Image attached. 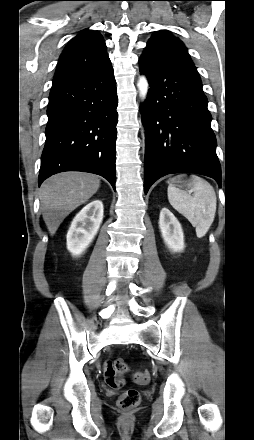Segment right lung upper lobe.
Wrapping results in <instances>:
<instances>
[{"mask_svg": "<svg viewBox=\"0 0 254 440\" xmlns=\"http://www.w3.org/2000/svg\"><path fill=\"white\" fill-rule=\"evenodd\" d=\"M110 63L101 34L94 30H83L61 54L53 84L102 69Z\"/></svg>", "mask_w": 254, "mask_h": 440, "instance_id": "right-lung-upper-lobe-1", "label": "right lung upper lobe"}]
</instances>
